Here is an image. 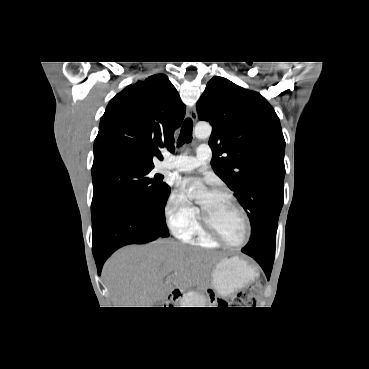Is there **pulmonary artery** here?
<instances>
[{"instance_id": "pulmonary-artery-1", "label": "pulmonary artery", "mask_w": 369, "mask_h": 369, "mask_svg": "<svg viewBox=\"0 0 369 369\" xmlns=\"http://www.w3.org/2000/svg\"><path fill=\"white\" fill-rule=\"evenodd\" d=\"M212 158V152L208 145H200L197 148L196 156L178 155L169 156L162 163V167L169 170L186 172L194 170L201 165L209 162Z\"/></svg>"}]
</instances>
